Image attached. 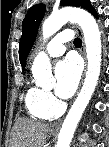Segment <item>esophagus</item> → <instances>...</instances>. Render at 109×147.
Here are the masks:
<instances>
[{
    "label": "esophagus",
    "mask_w": 109,
    "mask_h": 147,
    "mask_svg": "<svg viewBox=\"0 0 109 147\" xmlns=\"http://www.w3.org/2000/svg\"><path fill=\"white\" fill-rule=\"evenodd\" d=\"M72 27H73V29L75 30V32H76L79 36L82 37V31H81V29H80L77 25H73ZM81 52H82V54H83V56H84V58H85V60H86L84 40H83V46H82ZM86 70H87V63H86V65H85V71H84L83 78H82V81H81V83H80L79 89H80V87H81V85H82V83H83ZM61 124H62V120H59L58 122L54 123V124L51 126V128H52V129H59L60 126H61Z\"/></svg>",
    "instance_id": "obj_1"
}]
</instances>
